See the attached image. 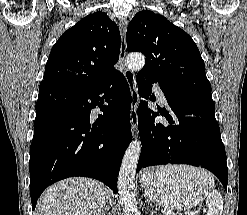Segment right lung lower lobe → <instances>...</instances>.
<instances>
[{"instance_id":"98d812e1","label":"right lung lower lobe","mask_w":247,"mask_h":215,"mask_svg":"<svg viewBox=\"0 0 247 215\" xmlns=\"http://www.w3.org/2000/svg\"><path fill=\"white\" fill-rule=\"evenodd\" d=\"M131 100L128 82L117 70L86 88L41 82L29 161L33 210L49 185L68 177L95 178L117 193L118 171L132 139ZM96 106L104 114L93 123Z\"/></svg>"}]
</instances>
